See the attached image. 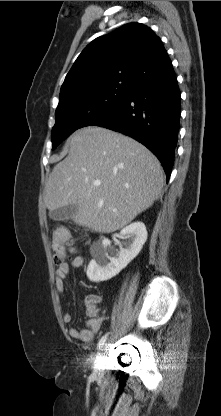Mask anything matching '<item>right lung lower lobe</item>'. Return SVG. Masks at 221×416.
<instances>
[{"instance_id":"obj_1","label":"right lung lower lobe","mask_w":221,"mask_h":416,"mask_svg":"<svg viewBox=\"0 0 221 416\" xmlns=\"http://www.w3.org/2000/svg\"><path fill=\"white\" fill-rule=\"evenodd\" d=\"M181 97L173 68L165 79L131 90L108 118L93 125L124 133L145 145L170 177L178 140Z\"/></svg>"}]
</instances>
